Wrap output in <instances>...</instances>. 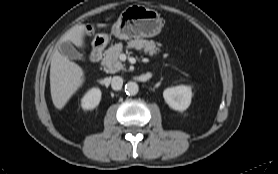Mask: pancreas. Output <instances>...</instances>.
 Returning a JSON list of instances; mask_svg holds the SVG:
<instances>
[{
	"instance_id": "1",
	"label": "pancreas",
	"mask_w": 278,
	"mask_h": 174,
	"mask_svg": "<svg viewBox=\"0 0 278 174\" xmlns=\"http://www.w3.org/2000/svg\"><path fill=\"white\" fill-rule=\"evenodd\" d=\"M127 44L128 48H135L136 50L144 51V53L149 56L156 55L160 51L159 44H156L153 40L135 39L130 40ZM122 51V43H117L105 51L102 63L107 72L116 73L124 69V65L119 60Z\"/></svg>"
}]
</instances>
